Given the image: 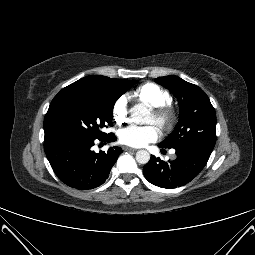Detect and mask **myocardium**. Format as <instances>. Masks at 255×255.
<instances>
[{
    "label": "myocardium",
    "mask_w": 255,
    "mask_h": 255,
    "mask_svg": "<svg viewBox=\"0 0 255 255\" xmlns=\"http://www.w3.org/2000/svg\"><path fill=\"white\" fill-rule=\"evenodd\" d=\"M154 123L164 131H170L176 124L178 116L171 104H164L152 107Z\"/></svg>",
    "instance_id": "obj_1"
}]
</instances>
